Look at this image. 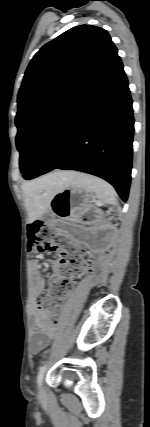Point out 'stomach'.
Returning a JSON list of instances; mask_svg holds the SVG:
<instances>
[{
    "mask_svg": "<svg viewBox=\"0 0 150 427\" xmlns=\"http://www.w3.org/2000/svg\"><path fill=\"white\" fill-rule=\"evenodd\" d=\"M91 193L75 183L59 190L52 198L50 209L55 216L78 221L90 208Z\"/></svg>",
    "mask_w": 150,
    "mask_h": 427,
    "instance_id": "stomach-1",
    "label": "stomach"
}]
</instances>
